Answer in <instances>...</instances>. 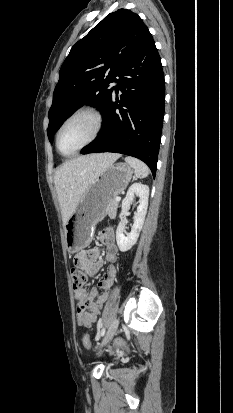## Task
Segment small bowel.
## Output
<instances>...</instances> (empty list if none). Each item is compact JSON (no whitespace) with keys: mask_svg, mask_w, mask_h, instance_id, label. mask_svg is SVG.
I'll list each match as a JSON object with an SVG mask.
<instances>
[{"mask_svg":"<svg viewBox=\"0 0 233 413\" xmlns=\"http://www.w3.org/2000/svg\"><path fill=\"white\" fill-rule=\"evenodd\" d=\"M99 240L105 247V256L109 262L107 272L99 283V288L103 290V293L98 296V289L95 287L75 291L74 297L78 303L76 322L80 326L89 327L97 321L100 310L108 299L118 271V248L115 243L113 229L111 227L104 228L99 233ZM100 254L99 248H92L88 251L82 250L76 256L75 264L89 276H93L103 266Z\"/></svg>","mask_w":233,"mask_h":413,"instance_id":"1","label":"small bowel"}]
</instances>
